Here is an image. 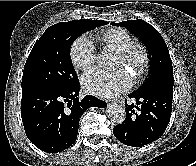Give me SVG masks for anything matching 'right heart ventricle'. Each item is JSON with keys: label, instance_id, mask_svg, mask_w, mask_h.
Masks as SVG:
<instances>
[{"label": "right heart ventricle", "instance_id": "e07e8e85", "mask_svg": "<svg viewBox=\"0 0 196 166\" xmlns=\"http://www.w3.org/2000/svg\"><path fill=\"white\" fill-rule=\"evenodd\" d=\"M98 39L102 41L105 46L112 48L118 53L128 49L135 43L132 36L123 29L106 30L98 36Z\"/></svg>", "mask_w": 196, "mask_h": 166}]
</instances>
